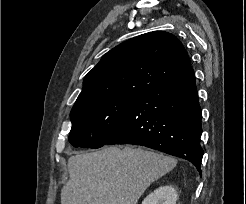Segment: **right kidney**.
I'll return each instance as SVG.
<instances>
[{
  "label": "right kidney",
  "mask_w": 246,
  "mask_h": 204,
  "mask_svg": "<svg viewBox=\"0 0 246 204\" xmlns=\"http://www.w3.org/2000/svg\"><path fill=\"white\" fill-rule=\"evenodd\" d=\"M177 192L172 186H163L150 193L142 204H176Z\"/></svg>",
  "instance_id": "right-kidney-1"
}]
</instances>
